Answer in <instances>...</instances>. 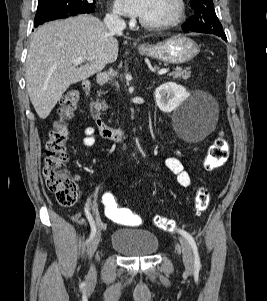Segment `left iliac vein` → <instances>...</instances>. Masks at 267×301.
<instances>
[{"label": "left iliac vein", "mask_w": 267, "mask_h": 301, "mask_svg": "<svg viewBox=\"0 0 267 301\" xmlns=\"http://www.w3.org/2000/svg\"><path fill=\"white\" fill-rule=\"evenodd\" d=\"M179 242L182 248V257H183L184 266L188 271H192L193 257H192V250L190 244L188 240L183 236L179 237Z\"/></svg>", "instance_id": "4c4485c4"}]
</instances>
